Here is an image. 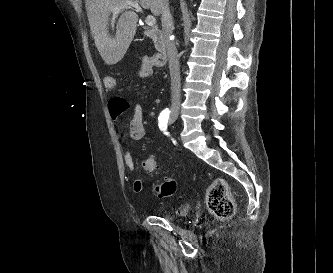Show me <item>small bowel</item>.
Instances as JSON below:
<instances>
[{
	"label": "small bowel",
	"mask_w": 333,
	"mask_h": 273,
	"mask_svg": "<svg viewBox=\"0 0 333 273\" xmlns=\"http://www.w3.org/2000/svg\"><path fill=\"white\" fill-rule=\"evenodd\" d=\"M151 57L144 58L143 62L140 63V70H138V77H151L154 72L155 63L154 62H144L146 59ZM105 86L106 81H105ZM108 88V87H107ZM110 115L114 121L115 127L117 130H120V117L122 114L129 113V104L125 101L124 96H111L110 102L108 104ZM146 134V129L143 121V107L141 103H135L133 107V113L128 123V135L132 140L139 141L144 138ZM120 142L123 148V156L126 167L129 171L135 170V161L132 157L131 151L127 145L125 137L120 134ZM148 159H154L152 157ZM144 188L143 180L141 178H136L133 181V190L137 193L142 192Z\"/></svg>",
	"instance_id": "small-bowel-1"
}]
</instances>
